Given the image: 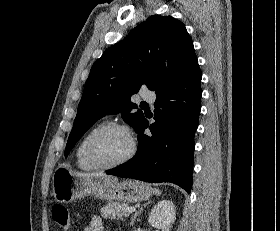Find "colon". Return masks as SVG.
Instances as JSON below:
<instances>
[{
	"label": "colon",
	"mask_w": 280,
	"mask_h": 231,
	"mask_svg": "<svg viewBox=\"0 0 280 231\" xmlns=\"http://www.w3.org/2000/svg\"><path fill=\"white\" fill-rule=\"evenodd\" d=\"M52 213H55V219L61 220L59 225V230H70V225L73 224L70 219L69 212L67 208H64L62 205H58V208H52Z\"/></svg>",
	"instance_id": "5ec220e1"
}]
</instances>
